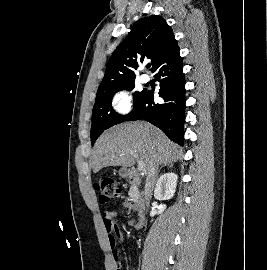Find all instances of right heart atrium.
Listing matches in <instances>:
<instances>
[{"label": "right heart atrium", "mask_w": 267, "mask_h": 270, "mask_svg": "<svg viewBox=\"0 0 267 270\" xmlns=\"http://www.w3.org/2000/svg\"><path fill=\"white\" fill-rule=\"evenodd\" d=\"M110 107L117 115H126L132 109V98L126 89H119L113 93L110 100Z\"/></svg>", "instance_id": "obj_1"}]
</instances>
